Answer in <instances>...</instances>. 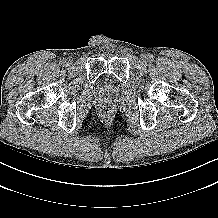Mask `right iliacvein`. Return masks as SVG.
Here are the masks:
<instances>
[{
	"label": "right iliac vein",
	"mask_w": 218,
	"mask_h": 218,
	"mask_svg": "<svg viewBox=\"0 0 218 218\" xmlns=\"http://www.w3.org/2000/svg\"><path fill=\"white\" fill-rule=\"evenodd\" d=\"M65 64L67 65L72 64V59L71 58L65 59Z\"/></svg>",
	"instance_id": "right-iliac-vein-1"
}]
</instances>
